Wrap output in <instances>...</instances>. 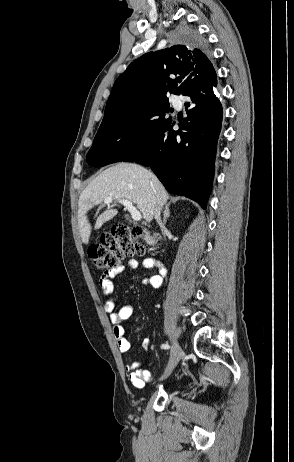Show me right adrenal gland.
<instances>
[{
	"label": "right adrenal gland",
	"instance_id": "1",
	"mask_svg": "<svg viewBox=\"0 0 294 462\" xmlns=\"http://www.w3.org/2000/svg\"><path fill=\"white\" fill-rule=\"evenodd\" d=\"M170 202L165 205L164 209V218H163V225L166 224L167 218L170 217Z\"/></svg>",
	"mask_w": 294,
	"mask_h": 462
}]
</instances>
